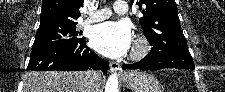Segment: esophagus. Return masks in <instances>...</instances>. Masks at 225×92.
Returning a JSON list of instances; mask_svg holds the SVG:
<instances>
[{
	"label": "esophagus",
	"instance_id": "1",
	"mask_svg": "<svg viewBox=\"0 0 225 92\" xmlns=\"http://www.w3.org/2000/svg\"><path fill=\"white\" fill-rule=\"evenodd\" d=\"M109 66H110V71L111 72H119V73H121V67H120L119 63L110 62Z\"/></svg>",
	"mask_w": 225,
	"mask_h": 92
}]
</instances>
